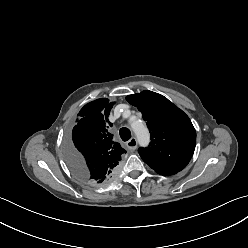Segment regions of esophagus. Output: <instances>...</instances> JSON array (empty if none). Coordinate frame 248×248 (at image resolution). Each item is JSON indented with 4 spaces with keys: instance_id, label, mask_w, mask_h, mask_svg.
I'll use <instances>...</instances> for the list:
<instances>
[{
    "instance_id": "34e87169",
    "label": "esophagus",
    "mask_w": 248,
    "mask_h": 248,
    "mask_svg": "<svg viewBox=\"0 0 248 248\" xmlns=\"http://www.w3.org/2000/svg\"><path fill=\"white\" fill-rule=\"evenodd\" d=\"M137 139L132 137L129 141H127L126 145L129 150L134 151L137 148Z\"/></svg>"
}]
</instances>
